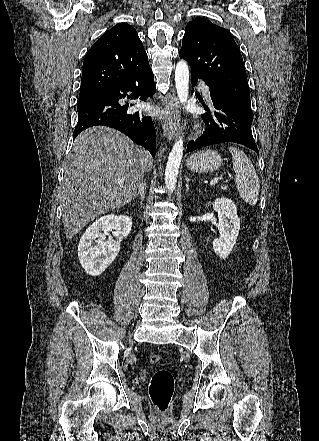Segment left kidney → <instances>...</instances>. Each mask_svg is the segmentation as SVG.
<instances>
[{
  "mask_svg": "<svg viewBox=\"0 0 319 441\" xmlns=\"http://www.w3.org/2000/svg\"><path fill=\"white\" fill-rule=\"evenodd\" d=\"M213 208L218 213L217 227L220 237L214 239L213 250L226 259L232 251L240 231V220L235 203L227 198H218L213 202Z\"/></svg>",
  "mask_w": 319,
  "mask_h": 441,
  "instance_id": "obj_1",
  "label": "left kidney"
}]
</instances>
